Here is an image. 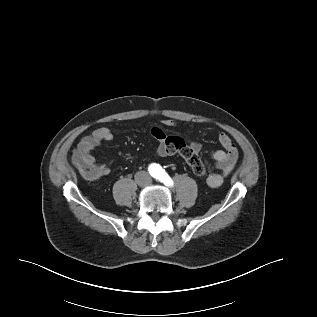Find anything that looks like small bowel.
<instances>
[{
	"mask_svg": "<svg viewBox=\"0 0 317 317\" xmlns=\"http://www.w3.org/2000/svg\"><path fill=\"white\" fill-rule=\"evenodd\" d=\"M160 122L163 126L167 127H173L177 124L175 120L169 118H164ZM151 135L159 142L157 154L160 157L174 155L179 149L184 148H190L197 154L201 150V144L199 142L194 141L187 144L181 137L166 136L160 127H153L151 129ZM113 139L114 133L110 128L98 127L94 129L80 141L74 152L75 162L78 163L82 160L92 164L95 169L94 179L108 176L110 174V168L104 164L96 163L93 152L99 148L104 141H112ZM218 141L222 149L215 151L212 157L219 172L211 173L206 180V184L211 188H217L223 183L225 177L233 170L238 158L236 145L227 134L221 133L218 137Z\"/></svg>",
	"mask_w": 317,
	"mask_h": 317,
	"instance_id": "c3829d8e",
	"label": "small bowel"
}]
</instances>
